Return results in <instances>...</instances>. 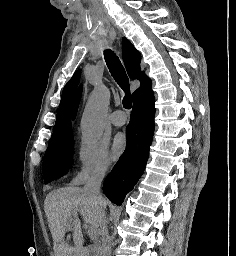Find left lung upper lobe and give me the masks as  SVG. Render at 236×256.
<instances>
[{
    "instance_id": "obj_1",
    "label": "left lung upper lobe",
    "mask_w": 236,
    "mask_h": 256,
    "mask_svg": "<svg viewBox=\"0 0 236 256\" xmlns=\"http://www.w3.org/2000/svg\"><path fill=\"white\" fill-rule=\"evenodd\" d=\"M81 92H82V87H80V89L78 90V93H77L76 98H75V103H74V107H73V119L75 118L76 113H77V108H78V105H79Z\"/></svg>"
}]
</instances>
